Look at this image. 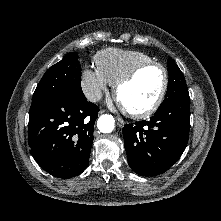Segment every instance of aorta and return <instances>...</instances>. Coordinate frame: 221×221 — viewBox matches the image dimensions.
<instances>
[{"label":"aorta","instance_id":"762f6f07","mask_svg":"<svg viewBox=\"0 0 221 221\" xmlns=\"http://www.w3.org/2000/svg\"><path fill=\"white\" fill-rule=\"evenodd\" d=\"M115 120L112 115H101L97 121V128L102 133H110L114 129Z\"/></svg>","mask_w":221,"mask_h":221}]
</instances>
